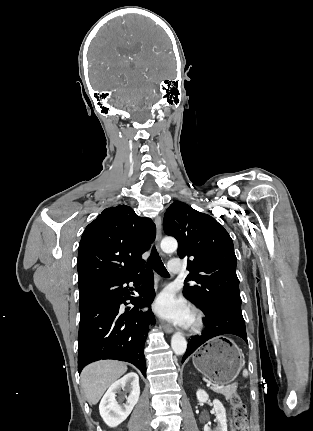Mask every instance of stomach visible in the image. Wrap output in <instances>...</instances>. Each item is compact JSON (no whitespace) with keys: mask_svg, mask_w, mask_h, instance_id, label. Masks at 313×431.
<instances>
[{"mask_svg":"<svg viewBox=\"0 0 313 431\" xmlns=\"http://www.w3.org/2000/svg\"><path fill=\"white\" fill-rule=\"evenodd\" d=\"M193 365L216 386L231 383L238 376L243 355L237 345L227 337H217L193 355Z\"/></svg>","mask_w":313,"mask_h":431,"instance_id":"1","label":"stomach"}]
</instances>
